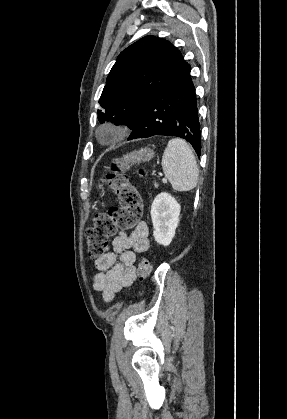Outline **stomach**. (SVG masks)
Instances as JSON below:
<instances>
[{"instance_id":"obj_1","label":"stomach","mask_w":287,"mask_h":419,"mask_svg":"<svg viewBox=\"0 0 287 419\" xmlns=\"http://www.w3.org/2000/svg\"><path fill=\"white\" fill-rule=\"evenodd\" d=\"M155 153L150 148H141L138 151L130 152L124 155L120 160L117 161V165L120 167H126L128 165H134L139 162H147L154 157Z\"/></svg>"}]
</instances>
